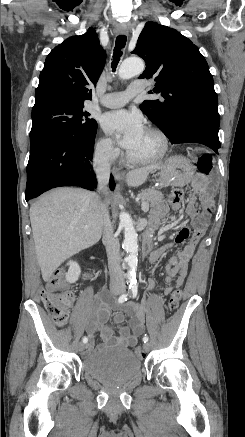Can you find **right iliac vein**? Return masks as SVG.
<instances>
[{
	"label": "right iliac vein",
	"mask_w": 245,
	"mask_h": 437,
	"mask_svg": "<svg viewBox=\"0 0 245 437\" xmlns=\"http://www.w3.org/2000/svg\"><path fill=\"white\" fill-rule=\"evenodd\" d=\"M113 293L117 294L118 292L114 291ZM79 351H83L85 349V344L84 343H79Z\"/></svg>",
	"instance_id": "right-iliac-vein-1"
}]
</instances>
